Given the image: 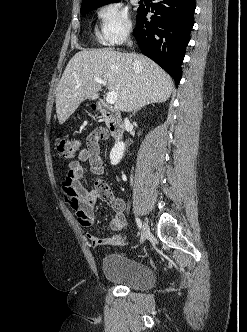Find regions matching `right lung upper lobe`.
<instances>
[{
    "mask_svg": "<svg viewBox=\"0 0 247 332\" xmlns=\"http://www.w3.org/2000/svg\"><path fill=\"white\" fill-rule=\"evenodd\" d=\"M105 1H109V0H83L81 7L102 3V2H105Z\"/></svg>",
    "mask_w": 247,
    "mask_h": 332,
    "instance_id": "right-lung-upper-lobe-1",
    "label": "right lung upper lobe"
}]
</instances>
